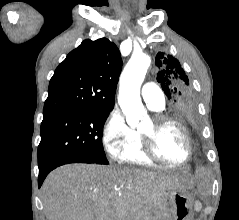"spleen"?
<instances>
[{"mask_svg": "<svg viewBox=\"0 0 239 220\" xmlns=\"http://www.w3.org/2000/svg\"><path fill=\"white\" fill-rule=\"evenodd\" d=\"M199 209H200V204L196 203V210H199Z\"/></svg>", "mask_w": 239, "mask_h": 220, "instance_id": "spleen-1", "label": "spleen"}]
</instances>
